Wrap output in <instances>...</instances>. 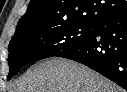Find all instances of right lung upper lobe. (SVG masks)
<instances>
[{
  "label": "right lung upper lobe",
  "mask_w": 127,
  "mask_h": 92,
  "mask_svg": "<svg viewBox=\"0 0 127 92\" xmlns=\"http://www.w3.org/2000/svg\"><path fill=\"white\" fill-rule=\"evenodd\" d=\"M125 12L126 0H31L13 38L39 27L96 25Z\"/></svg>",
  "instance_id": "right-lung-upper-lobe-1"
}]
</instances>
